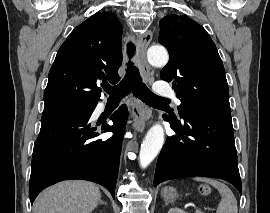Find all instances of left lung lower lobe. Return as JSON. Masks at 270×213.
<instances>
[{
  "label": "left lung lower lobe",
  "instance_id": "0a47b994",
  "mask_svg": "<svg viewBox=\"0 0 270 213\" xmlns=\"http://www.w3.org/2000/svg\"><path fill=\"white\" fill-rule=\"evenodd\" d=\"M178 134L167 137L156 166L154 186L189 176L219 178L242 191L231 115L203 112L183 117L184 123L164 115Z\"/></svg>",
  "mask_w": 270,
  "mask_h": 213
}]
</instances>
